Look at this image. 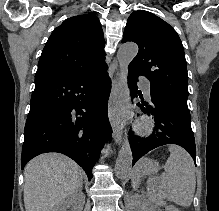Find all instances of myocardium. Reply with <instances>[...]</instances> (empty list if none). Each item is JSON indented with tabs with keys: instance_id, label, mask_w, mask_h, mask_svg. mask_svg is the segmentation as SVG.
<instances>
[{
	"instance_id": "obj_1",
	"label": "myocardium",
	"mask_w": 219,
	"mask_h": 211,
	"mask_svg": "<svg viewBox=\"0 0 219 211\" xmlns=\"http://www.w3.org/2000/svg\"><path fill=\"white\" fill-rule=\"evenodd\" d=\"M153 125H154V120L153 118L150 117L143 118L139 124L140 128L144 130L150 129Z\"/></svg>"
}]
</instances>
